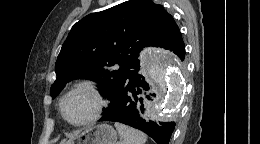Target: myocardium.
<instances>
[{
  "label": "myocardium",
  "instance_id": "obj_1",
  "mask_svg": "<svg viewBox=\"0 0 260 144\" xmlns=\"http://www.w3.org/2000/svg\"><path fill=\"white\" fill-rule=\"evenodd\" d=\"M80 89H85L89 91V93L93 96L95 100V108L92 112V114L85 119L84 121L81 122H71L70 120L67 119L65 112H64V105L66 100L70 95H72L74 92L80 90ZM105 106L104 99L102 97V94L98 87L91 81H81L73 85L62 97L60 101V113L62 118L70 125L75 126V127H80V126H85L88 125L92 122H94L101 114L103 108Z\"/></svg>",
  "mask_w": 260,
  "mask_h": 144
}]
</instances>
